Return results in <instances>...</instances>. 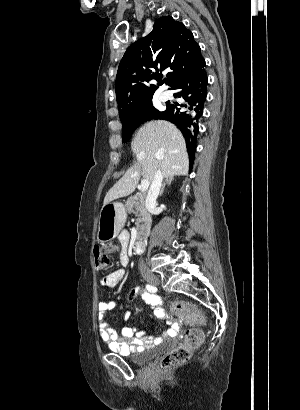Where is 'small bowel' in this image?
Wrapping results in <instances>:
<instances>
[{"instance_id": "small-bowel-1", "label": "small bowel", "mask_w": 300, "mask_h": 410, "mask_svg": "<svg viewBox=\"0 0 300 410\" xmlns=\"http://www.w3.org/2000/svg\"><path fill=\"white\" fill-rule=\"evenodd\" d=\"M120 248V263L126 266L129 261L128 257V243L129 237L126 233L119 235ZM125 277V270L123 268L116 269L107 274L100 280V285L107 288H114L118 286ZM140 296L142 300L152 309L154 314L163 320H166L170 324L171 328L157 337H149L144 330L138 329L132 326H124L120 331V336L111 328L106 322V314L108 311L113 310L121 305L118 300L102 301L97 305L98 309V325L99 334L104 343L108 347L120 354L129 355L140 352L152 344L158 342L165 336L174 335L180 330V326L170 320L168 314L162 308L161 299L159 296L147 293L139 288L132 289L128 300H132L135 297ZM131 317V310L127 309L124 314V322H127Z\"/></svg>"}]
</instances>
